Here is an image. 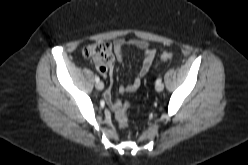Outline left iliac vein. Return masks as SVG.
<instances>
[{
  "mask_svg": "<svg viewBox=\"0 0 248 165\" xmlns=\"http://www.w3.org/2000/svg\"><path fill=\"white\" fill-rule=\"evenodd\" d=\"M155 89L156 91L161 92L164 89V84L163 83L156 84Z\"/></svg>",
  "mask_w": 248,
  "mask_h": 165,
  "instance_id": "1",
  "label": "left iliac vein"
}]
</instances>
